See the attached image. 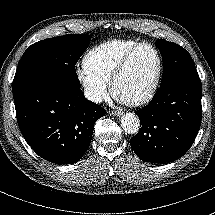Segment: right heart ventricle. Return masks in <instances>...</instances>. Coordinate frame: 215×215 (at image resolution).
<instances>
[{"instance_id":"1","label":"right heart ventricle","mask_w":215,"mask_h":215,"mask_svg":"<svg viewBox=\"0 0 215 215\" xmlns=\"http://www.w3.org/2000/svg\"><path fill=\"white\" fill-rule=\"evenodd\" d=\"M137 43L132 39H118L102 43L84 56L83 68L90 76L109 83L122 57Z\"/></svg>"}]
</instances>
